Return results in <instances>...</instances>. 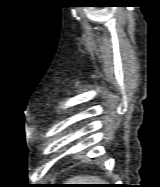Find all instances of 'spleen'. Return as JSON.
<instances>
[{"mask_svg":"<svg viewBox=\"0 0 160 187\" xmlns=\"http://www.w3.org/2000/svg\"><path fill=\"white\" fill-rule=\"evenodd\" d=\"M103 181H101L98 178H89V177H76L69 181L70 184H100Z\"/></svg>","mask_w":160,"mask_h":187,"instance_id":"3e777b00","label":"spleen"}]
</instances>
